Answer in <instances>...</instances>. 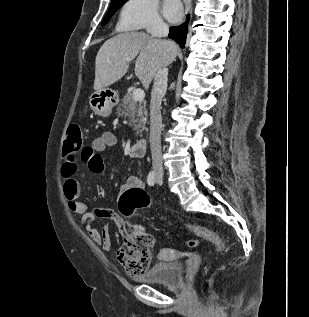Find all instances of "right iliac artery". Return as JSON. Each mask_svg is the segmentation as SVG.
I'll list each match as a JSON object with an SVG mask.
<instances>
[{"instance_id": "obj_1", "label": "right iliac artery", "mask_w": 309, "mask_h": 317, "mask_svg": "<svg viewBox=\"0 0 309 317\" xmlns=\"http://www.w3.org/2000/svg\"><path fill=\"white\" fill-rule=\"evenodd\" d=\"M156 182L154 171H151L147 177V183L149 186H154Z\"/></svg>"}]
</instances>
